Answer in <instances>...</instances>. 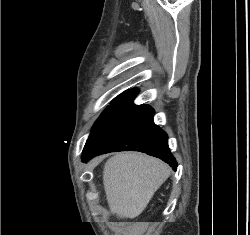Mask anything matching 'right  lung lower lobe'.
Returning <instances> with one entry per match:
<instances>
[{
    "label": "right lung lower lobe",
    "instance_id": "right-lung-lower-lobe-1",
    "mask_svg": "<svg viewBox=\"0 0 250 235\" xmlns=\"http://www.w3.org/2000/svg\"><path fill=\"white\" fill-rule=\"evenodd\" d=\"M133 99L92 131L82 160L114 151H141L162 159L176 170L177 162L168 147V136L153 122V108L145 104L134 105Z\"/></svg>",
    "mask_w": 250,
    "mask_h": 235
}]
</instances>
